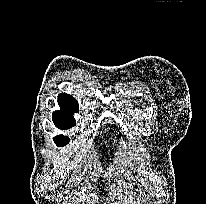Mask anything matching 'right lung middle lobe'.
Masks as SVG:
<instances>
[{"label": "right lung middle lobe", "mask_w": 206, "mask_h": 204, "mask_svg": "<svg viewBox=\"0 0 206 204\" xmlns=\"http://www.w3.org/2000/svg\"><path fill=\"white\" fill-rule=\"evenodd\" d=\"M53 122L59 129L66 130L76 125V120L72 115L53 113ZM57 146L62 147L69 143L70 139L64 135L53 138Z\"/></svg>", "instance_id": "right-lung-middle-lobe-1"}]
</instances>
